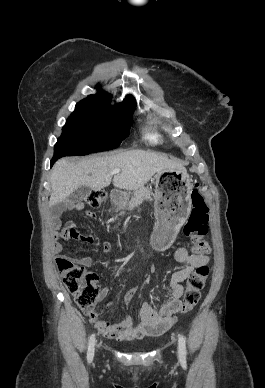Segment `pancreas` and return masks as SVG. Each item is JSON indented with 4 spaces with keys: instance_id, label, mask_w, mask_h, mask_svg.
I'll list each match as a JSON object with an SVG mask.
<instances>
[{
    "instance_id": "pancreas-1",
    "label": "pancreas",
    "mask_w": 265,
    "mask_h": 388,
    "mask_svg": "<svg viewBox=\"0 0 265 388\" xmlns=\"http://www.w3.org/2000/svg\"><path fill=\"white\" fill-rule=\"evenodd\" d=\"M151 198V190L149 188H138V190H134L133 196L128 204L127 210H133L136 206H140L143 200H150Z\"/></svg>"
}]
</instances>
